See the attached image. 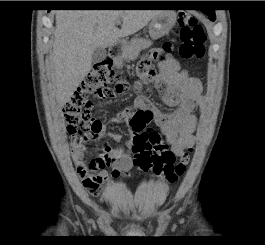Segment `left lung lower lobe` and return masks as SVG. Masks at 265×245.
<instances>
[{
  "mask_svg": "<svg viewBox=\"0 0 265 245\" xmlns=\"http://www.w3.org/2000/svg\"><path fill=\"white\" fill-rule=\"evenodd\" d=\"M204 13H206L207 15H209V19L211 20V21H213V17H214V15H215V13H214V10H202Z\"/></svg>",
  "mask_w": 265,
  "mask_h": 245,
  "instance_id": "obj_1",
  "label": "left lung lower lobe"
}]
</instances>
